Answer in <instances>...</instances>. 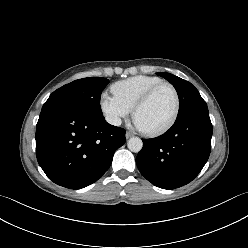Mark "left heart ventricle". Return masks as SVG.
<instances>
[{
  "mask_svg": "<svg viewBox=\"0 0 248 248\" xmlns=\"http://www.w3.org/2000/svg\"><path fill=\"white\" fill-rule=\"evenodd\" d=\"M175 108L173 92L168 87L158 89L137 112L135 120L141 128L155 129L164 125Z\"/></svg>",
  "mask_w": 248,
  "mask_h": 248,
  "instance_id": "b2bd125f",
  "label": "left heart ventricle"
}]
</instances>
